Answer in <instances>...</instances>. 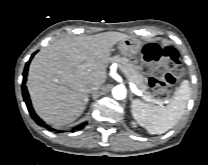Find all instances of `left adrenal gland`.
<instances>
[{"instance_id": "a2214340", "label": "left adrenal gland", "mask_w": 208, "mask_h": 165, "mask_svg": "<svg viewBox=\"0 0 208 165\" xmlns=\"http://www.w3.org/2000/svg\"><path fill=\"white\" fill-rule=\"evenodd\" d=\"M132 96H133V95L131 94V95H130V100H131V101H133Z\"/></svg>"}]
</instances>
